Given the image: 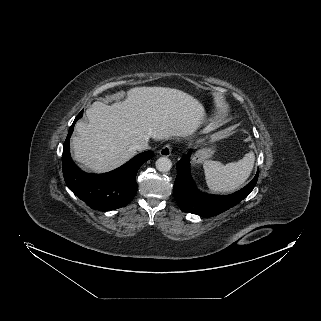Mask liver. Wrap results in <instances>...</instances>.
<instances>
[{
    "label": "liver",
    "instance_id": "liver-1",
    "mask_svg": "<svg viewBox=\"0 0 321 321\" xmlns=\"http://www.w3.org/2000/svg\"><path fill=\"white\" fill-rule=\"evenodd\" d=\"M89 123L77 122L72 138L74 159L101 173L137 154L136 145L151 138L165 140L192 135L205 119L193 96L166 87H135L111 106L96 101L86 110Z\"/></svg>",
    "mask_w": 321,
    "mask_h": 321
}]
</instances>
